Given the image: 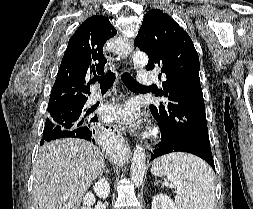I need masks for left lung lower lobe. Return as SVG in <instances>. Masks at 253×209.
Instances as JSON below:
<instances>
[{"mask_svg":"<svg viewBox=\"0 0 253 209\" xmlns=\"http://www.w3.org/2000/svg\"><path fill=\"white\" fill-rule=\"evenodd\" d=\"M171 152H188V153L194 154L202 158L203 160H205L215 171V165H214L213 156L211 154V150H206L202 147H198L196 145L189 144V143L170 141V140L164 139L163 137H162L159 147L156 148L151 153V160L157 157H160L162 155L171 153Z\"/></svg>","mask_w":253,"mask_h":209,"instance_id":"left-lung-lower-lobe-1","label":"left lung lower lobe"}]
</instances>
